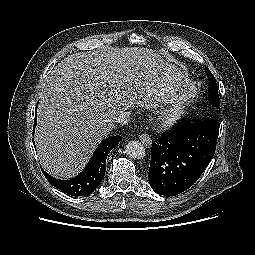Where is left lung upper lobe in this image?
<instances>
[{
    "label": "left lung upper lobe",
    "mask_w": 255,
    "mask_h": 255,
    "mask_svg": "<svg viewBox=\"0 0 255 255\" xmlns=\"http://www.w3.org/2000/svg\"><path fill=\"white\" fill-rule=\"evenodd\" d=\"M205 71L209 80L208 101L212 106L216 107L217 109H220V99L216 80L208 68H205Z\"/></svg>",
    "instance_id": "5c2ea615"
}]
</instances>
